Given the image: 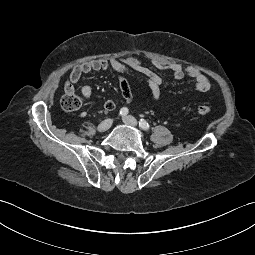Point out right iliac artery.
Listing matches in <instances>:
<instances>
[{
  "label": "right iliac artery",
  "instance_id": "1",
  "mask_svg": "<svg viewBox=\"0 0 255 255\" xmlns=\"http://www.w3.org/2000/svg\"><path fill=\"white\" fill-rule=\"evenodd\" d=\"M119 114H120L121 116L127 115V114H128V108H126V107L121 108Z\"/></svg>",
  "mask_w": 255,
  "mask_h": 255
}]
</instances>
